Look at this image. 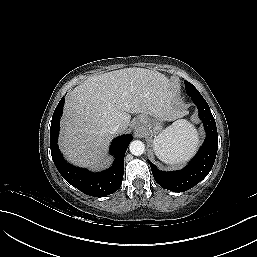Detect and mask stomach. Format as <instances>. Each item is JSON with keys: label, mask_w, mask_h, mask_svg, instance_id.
I'll list each match as a JSON object with an SVG mask.
<instances>
[{"label": "stomach", "mask_w": 257, "mask_h": 257, "mask_svg": "<svg viewBox=\"0 0 257 257\" xmlns=\"http://www.w3.org/2000/svg\"><path fill=\"white\" fill-rule=\"evenodd\" d=\"M165 117L162 113H142L137 117V124L146 135L153 136L162 129Z\"/></svg>", "instance_id": "1"}]
</instances>
